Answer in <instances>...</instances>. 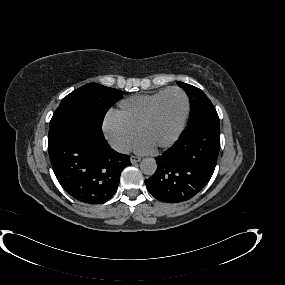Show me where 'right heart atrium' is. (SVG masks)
I'll use <instances>...</instances> for the list:
<instances>
[{
    "mask_svg": "<svg viewBox=\"0 0 285 285\" xmlns=\"http://www.w3.org/2000/svg\"><path fill=\"white\" fill-rule=\"evenodd\" d=\"M103 131L112 146L120 152L129 151L136 138V133L123 125L115 115L105 117Z\"/></svg>",
    "mask_w": 285,
    "mask_h": 285,
    "instance_id": "d8ad5b80",
    "label": "right heart atrium"
}]
</instances>
